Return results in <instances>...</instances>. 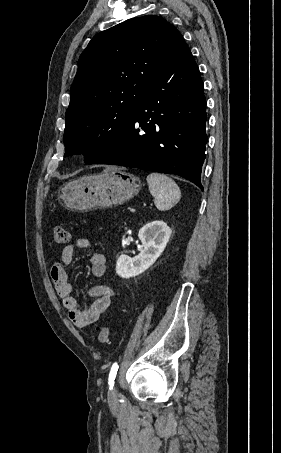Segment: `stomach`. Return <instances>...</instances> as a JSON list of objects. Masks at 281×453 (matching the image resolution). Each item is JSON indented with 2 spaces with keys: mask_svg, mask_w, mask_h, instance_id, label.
I'll list each match as a JSON object with an SVG mask.
<instances>
[{
  "mask_svg": "<svg viewBox=\"0 0 281 453\" xmlns=\"http://www.w3.org/2000/svg\"><path fill=\"white\" fill-rule=\"evenodd\" d=\"M141 180L123 168L107 166L98 174H84L63 184L58 198L64 206L78 212H88L91 208H110L130 200L141 190Z\"/></svg>",
  "mask_w": 281,
  "mask_h": 453,
  "instance_id": "obj_1",
  "label": "stomach"
}]
</instances>
